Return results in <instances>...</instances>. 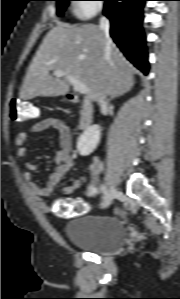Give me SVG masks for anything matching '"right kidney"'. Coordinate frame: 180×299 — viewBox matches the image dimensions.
Segmentation results:
<instances>
[{"instance_id": "ca27d5eb", "label": "right kidney", "mask_w": 180, "mask_h": 299, "mask_svg": "<svg viewBox=\"0 0 180 299\" xmlns=\"http://www.w3.org/2000/svg\"><path fill=\"white\" fill-rule=\"evenodd\" d=\"M101 131L98 125L88 127L78 138L77 149L82 156L91 154L100 142Z\"/></svg>"}]
</instances>
